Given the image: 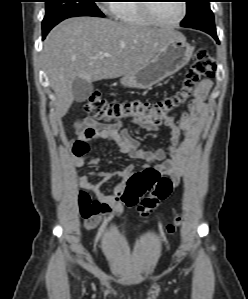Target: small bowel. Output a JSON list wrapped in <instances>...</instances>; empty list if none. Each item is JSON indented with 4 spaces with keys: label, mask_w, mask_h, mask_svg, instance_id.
Here are the masks:
<instances>
[{
    "label": "small bowel",
    "mask_w": 248,
    "mask_h": 299,
    "mask_svg": "<svg viewBox=\"0 0 248 299\" xmlns=\"http://www.w3.org/2000/svg\"><path fill=\"white\" fill-rule=\"evenodd\" d=\"M210 88L211 82L209 80L201 81L196 89V98L191 102L188 111L182 113L179 122L176 123L170 118L163 122V125L170 130V144L167 152L164 150L151 152L139 148L136 140L130 135L122 121L108 125H101L91 118L80 121L76 125L77 137L72 149L74 166H84L89 143L107 141L114 143L121 152L128 154L132 159L143 160L147 163L159 162L153 168L162 176L169 177L173 186H177L184 173L183 159L188 151L194 149L198 140L205 110L203 97ZM127 123L135 130L146 129L150 132H156L158 129L154 123L144 120H129ZM96 164L97 161L91 163L92 166ZM131 170V167L115 172L94 169L90 174L99 177L102 182H109L114 179H127ZM77 179L81 187L96 198L91 204L93 214L89 217H83L87 229H94L107 217L120 215L123 212L125 205L120 199V192L125 183L118 184L111 190V193H107L99 184L91 183L88 175H78Z\"/></svg>",
    "instance_id": "small-bowel-1"
}]
</instances>
